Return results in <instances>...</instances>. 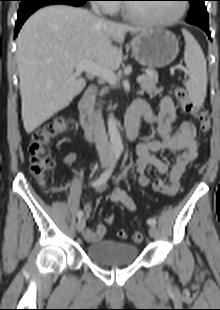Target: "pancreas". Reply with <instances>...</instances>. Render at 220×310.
<instances>
[{
    "label": "pancreas",
    "instance_id": "1",
    "mask_svg": "<svg viewBox=\"0 0 220 310\" xmlns=\"http://www.w3.org/2000/svg\"><path fill=\"white\" fill-rule=\"evenodd\" d=\"M158 82V73L149 68L146 70V75H144L143 81L140 83L142 91L147 92L150 96H155L157 94H161L163 88H157L156 84Z\"/></svg>",
    "mask_w": 220,
    "mask_h": 310
}]
</instances>
